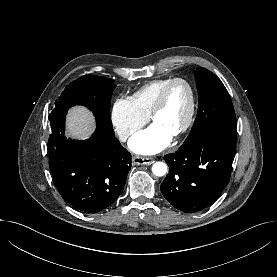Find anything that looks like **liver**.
Returning <instances> with one entry per match:
<instances>
[{
  "label": "liver",
  "instance_id": "6515ba94",
  "mask_svg": "<svg viewBox=\"0 0 277 277\" xmlns=\"http://www.w3.org/2000/svg\"><path fill=\"white\" fill-rule=\"evenodd\" d=\"M96 128L93 112L83 105H75L66 115V136L72 139L86 140Z\"/></svg>",
  "mask_w": 277,
  "mask_h": 277
}]
</instances>
